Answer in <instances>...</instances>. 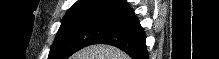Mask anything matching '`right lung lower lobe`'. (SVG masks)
Here are the masks:
<instances>
[{
	"instance_id": "98d812e1",
	"label": "right lung lower lobe",
	"mask_w": 219,
	"mask_h": 59,
	"mask_svg": "<svg viewBox=\"0 0 219 59\" xmlns=\"http://www.w3.org/2000/svg\"><path fill=\"white\" fill-rule=\"evenodd\" d=\"M114 12L127 17V20L114 27L93 44H109L126 52L132 59H148L146 35L137 17L124 2Z\"/></svg>"
}]
</instances>
